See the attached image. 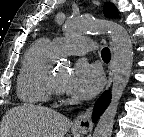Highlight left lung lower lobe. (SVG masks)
Instances as JSON below:
<instances>
[{
	"mask_svg": "<svg viewBox=\"0 0 144 137\" xmlns=\"http://www.w3.org/2000/svg\"><path fill=\"white\" fill-rule=\"evenodd\" d=\"M109 101H110V93L107 92L103 93L101 97L98 99V101L96 102L94 108V113H93L94 121H96L99 115L102 114V112L107 107Z\"/></svg>",
	"mask_w": 144,
	"mask_h": 137,
	"instance_id": "1",
	"label": "left lung lower lobe"
}]
</instances>
